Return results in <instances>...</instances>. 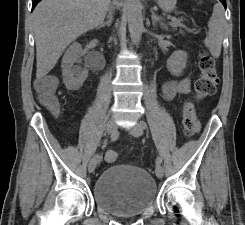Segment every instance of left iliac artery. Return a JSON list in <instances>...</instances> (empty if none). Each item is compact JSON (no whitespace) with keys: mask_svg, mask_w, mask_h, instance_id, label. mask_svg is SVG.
Listing matches in <instances>:
<instances>
[{"mask_svg":"<svg viewBox=\"0 0 245 225\" xmlns=\"http://www.w3.org/2000/svg\"><path fill=\"white\" fill-rule=\"evenodd\" d=\"M140 124H141V126H142L143 129H146L147 128L146 122L141 121ZM155 163H156V165H160L162 163V159H161L160 156H157V158L155 160Z\"/></svg>","mask_w":245,"mask_h":225,"instance_id":"44dca946","label":"left iliac artery"}]
</instances>
